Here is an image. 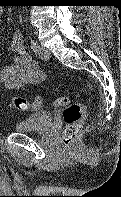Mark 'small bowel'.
Masks as SVG:
<instances>
[{
  "label": "small bowel",
  "instance_id": "1",
  "mask_svg": "<svg viewBox=\"0 0 121 197\" xmlns=\"http://www.w3.org/2000/svg\"><path fill=\"white\" fill-rule=\"evenodd\" d=\"M3 18V9L0 7V22ZM11 50L14 60L10 66L0 70V83L11 91H23L29 84L43 81L44 74L38 63L30 56L19 32L12 36Z\"/></svg>",
  "mask_w": 121,
  "mask_h": 197
}]
</instances>
